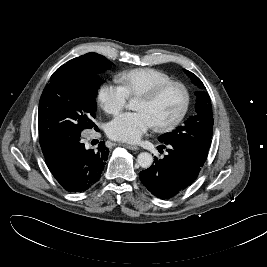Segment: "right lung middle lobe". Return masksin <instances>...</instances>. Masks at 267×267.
<instances>
[{"instance_id":"1","label":"right lung middle lobe","mask_w":267,"mask_h":267,"mask_svg":"<svg viewBox=\"0 0 267 267\" xmlns=\"http://www.w3.org/2000/svg\"><path fill=\"white\" fill-rule=\"evenodd\" d=\"M111 62L96 53H87L59 67L51 76L39 102L38 128L42 151L65 140L96 129L95 98L100 87L96 74Z\"/></svg>"}]
</instances>
